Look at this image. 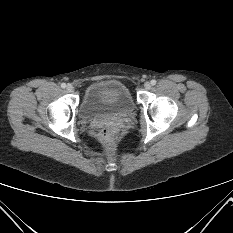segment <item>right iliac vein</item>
I'll return each instance as SVG.
<instances>
[{"instance_id":"63e3f726","label":"right iliac vein","mask_w":233,"mask_h":233,"mask_svg":"<svg viewBox=\"0 0 233 233\" xmlns=\"http://www.w3.org/2000/svg\"><path fill=\"white\" fill-rule=\"evenodd\" d=\"M66 90H67L68 92H70V93L73 92V91H74L73 85L68 84L67 87H66Z\"/></svg>"}]
</instances>
